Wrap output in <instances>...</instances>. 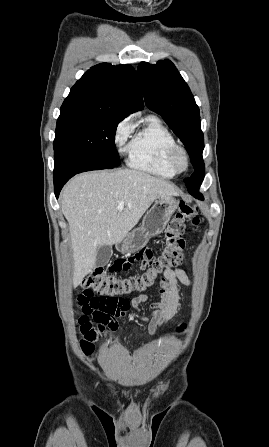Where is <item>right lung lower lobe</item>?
I'll return each mask as SVG.
<instances>
[{
  "mask_svg": "<svg viewBox=\"0 0 269 447\" xmlns=\"http://www.w3.org/2000/svg\"><path fill=\"white\" fill-rule=\"evenodd\" d=\"M54 163V189L56 198H58L64 184L75 174L89 170L112 169L115 167L66 154L55 155Z\"/></svg>",
  "mask_w": 269,
  "mask_h": 447,
  "instance_id": "obj_1",
  "label": "right lung lower lobe"
}]
</instances>
